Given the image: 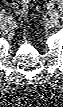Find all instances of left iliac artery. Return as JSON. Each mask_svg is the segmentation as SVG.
I'll use <instances>...</instances> for the list:
<instances>
[{"label":"left iliac artery","mask_w":63,"mask_h":107,"mask_svg":"<svg viewBox=\"0 0 63 107\" xmlns=\"http://www.w3.org/2000/svg\"><path fill=\"white\" fill-rule=\"evenodd\" d=\"M47 5H48V8H49V9H52V8H54V5H53V3H51V2H50V3H48Z\"/></svg>","instance_id":"left-iliac-artery-1"}]
</instances>
